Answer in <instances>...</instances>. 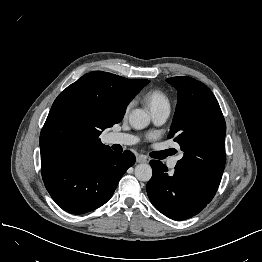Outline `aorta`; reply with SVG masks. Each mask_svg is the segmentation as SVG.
Returning a JSON list of instances; mask_svg holds the SVG:
<instances>
[{
  "label": "aorta",
  "instance_id": "obj_1",
  "mask_svg": "<svg viewBox=\"0 0 262 262\" xmlns=\"http://www.w3.org/2000/svg\"><path fill=\"white\" fill-rule=\"evenodd\" d=\"M129 123L135 129H143L150 124V116L142 109H134L129 115ZM135 177L139 181H149L152 177L151 166L145 163L138 164L135 167Z\"/></svg>",
  "mask_w": 262,
  "mask_h": 262
}]
</instances>
